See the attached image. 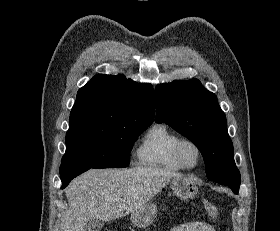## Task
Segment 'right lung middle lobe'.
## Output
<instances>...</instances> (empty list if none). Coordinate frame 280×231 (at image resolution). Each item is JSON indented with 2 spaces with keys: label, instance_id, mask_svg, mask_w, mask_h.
Returning a JSON list of instances; mask_svg holds the SVG:
<instances>
[{
  "label": "right lung middle lobe",
  "instance_id": "right-lung-middle-lobe-1",
  "mask_svg": "<svg viewBox=\"0 0 280 231\" xmlns=\"http://www.w3.org/2000/svg\"><path fill=\"white\" fill-rule=\"evenodd\" d=\"M150 124L112 118L70 119L60 167H127L136 138Z\"/></svg>",
  "mask_w": 280,
  "mask_h": 231
}]
</instances>
